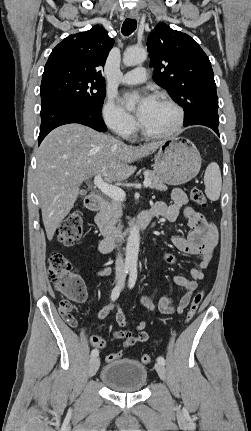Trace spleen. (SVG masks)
Returning <instances> with one entry per match:
<instances>
[{
	"label": "spleen",
	"instance_id": "1",
	"mask_svg": "<svg viewBox=\"0 0 251 431\" xmlns=\"http://www.w3.org/2000/svg\"><path fill=\"white\" fill-rule=\"evenodd\" d=\"M204 184L206 196L212 201L218 200L222 187V178L220 168L217 163L212 162L206 168Z\"/></svg>",
	"mask_w": 251,
	"mask_h": 431
}]
</instances>
